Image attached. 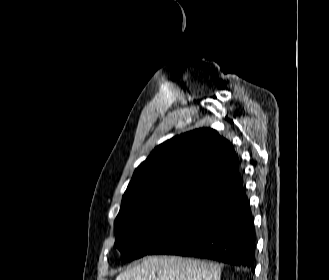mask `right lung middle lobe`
I'll return each instance as SVG.
<instances>
[{
  "instance_id": "dd1d6c3e",
  "label": "right lung middle lobe",
  "mask_w": 329,
  "mask_h": 280,
  "mask_svg": "<svg viewBox=\"0 0 329 280\" xmlns=\"http://www.w3.org/2000/svg\"><path fill=\"white\" fill-rule=\"evenodd\" d=\"M203 198L176 195L140 205L122 204L114 222L115 244L124 261L149 254L202 203Z\"/></svg>"
}]
</instances>
